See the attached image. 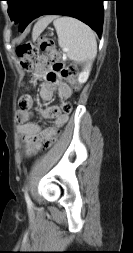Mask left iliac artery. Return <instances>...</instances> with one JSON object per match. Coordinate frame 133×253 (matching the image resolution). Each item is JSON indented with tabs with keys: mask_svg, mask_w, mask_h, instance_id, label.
Masks as SVG:
<instances>
[{
	"mask_svg": "<svg viewBox=\"0 0 133 253\" xmlns=\"http://www.w3.org/2000/svg\"><path fill=\"white\" fill-rule=\"evenodd\" d=\"M24 192H25V200H26L27 204L29 206L32 205V202H31L30 197H29L28 192H27V186L25 187Z\"/></svg>",
	"mask_w": 133,
	"mask_h": 253,
	"instance_id": "obj_1",
	"label": "left iliac artery"
}]
</instances>
